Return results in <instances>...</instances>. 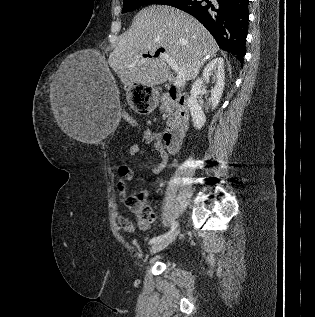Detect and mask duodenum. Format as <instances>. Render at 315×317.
<instances>
[{
    "instance_id": "duodenum-1",
    "label": "duodenum",
    "mask_w": 315,
    "mask_h": 317,
    "mask_svg": "<svg viewBox=\"0 0 315 317\" xmlns=\"http://www.w3.org/2000/svg\"><path fill=\"white\" fill-rule=\"evenodd\" d=\"M166 103L172 108L174 115L162 138L167 151L176 153L180 149L189 127L187 97L178 90L175 84H172L167 94Z\"/></svg>"
}]
</instances>
